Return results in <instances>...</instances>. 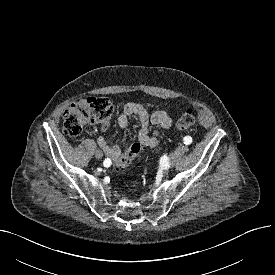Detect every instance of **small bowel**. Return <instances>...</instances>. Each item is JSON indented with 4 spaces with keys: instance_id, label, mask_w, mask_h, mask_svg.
<instances>
[{
    "instance_id": "small-bowel-1",
    "label": "small bowel",
    "mask_w": 275,
    "mask_h": 275,
    "mask_svg": "<svg viewBox=\"0 0 275 275\" xmlns=\"http://www.w3.org/2000/svg\"><path fill=\"white\" fill-rule=\"evenodd\" d=\"M131 116H136L140 122L138 142L134 144H139L141 148L143 146L154 148L160 143V132L157 130L153 131L151 126H158L165 131L168 130L172 124V120L168 113L164 111L150 113L141 104L129 102L123 106L118 116V126L120 128H125ZM98 145L104 154L115 162L128 157L133 146L132 145L127 150H122L118 145H109L104 135L98 138Z\"/></svg>"
}]
</instances>
